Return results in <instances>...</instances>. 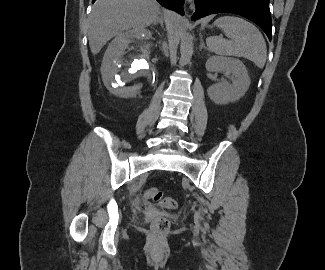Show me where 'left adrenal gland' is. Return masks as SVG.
<instances>
[{
    "label": "left adrenal gland",
    "instance_id": "obj_1",
    "mask_svg": "<svg viewBox=\"0 0 325 270\" xmlns=\"http://www.w3.org/2000/svg\"><path fill=\"white\" fill-rule=\"evenodd\" d=\"M199 49H200V50H202V49H207V48L205 47V44H204L203 39H201V41H200Z\"/></svg>",
    "mask_w": 325,
    "mask_h": 270
}]
</instances>
